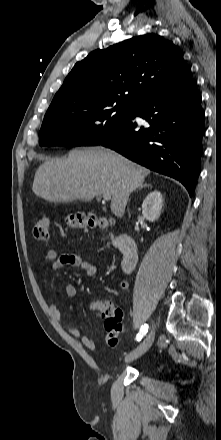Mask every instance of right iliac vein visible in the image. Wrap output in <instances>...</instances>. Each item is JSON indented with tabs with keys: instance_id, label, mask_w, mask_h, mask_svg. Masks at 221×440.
Instances as JSON below:
<instances>
[{
	"instance_id": "1",
	"label": "right iliac vein",
	"mask_w": 221,
	"mask_h": 440,
	"mask_svg": "<svg viewBox=\"0 0 221 440\" xmlns=\"http://www.w3.org/2000/svg\"><path fill=\"white\" fill-rule=\"evenodd\" d=\"M154 329L148 334V336L142 341V343L129 355L126 356L125 361L130 362L133 361L140 356H142L146 351L149 350L153 341H154Z\"/></svg>"
}]
</instances>
